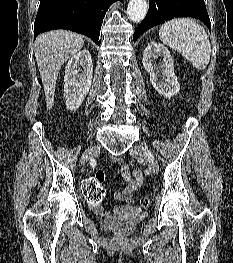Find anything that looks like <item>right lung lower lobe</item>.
<instances>
[{"instance_id": "right-lung-lower-lobe-1", "label": "right lung lower lobe", "mask_w": 233, "mask_h": 263, "mask_svg": "<svg viewBox=\"0 0 233 263\" xmlns=\"http://www.w3.org/2000/svg\"><path fill=\"white\" fill-rule=\"evenodd\" d=\"M115 1L41 0L34 24V39L49 30L67 29L84 34L100 45L102 20Z\"/></svg>"}]
</instances>
